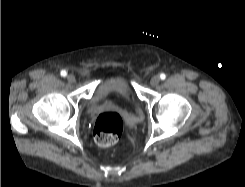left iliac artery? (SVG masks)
<instances>
[{
  "instance_id": "1",
  "label": "left iliac artery",
  "mask_w": 245,
  "mask_h": 187,
  "mask_svg": "<svg viewBox=\"0 0 245 187\" xmlns=\"http://www.w3.org/2000/svg\"><path fill=\"white\" fill-rule=\"evenodd\" d=\"M160 78H161L162 80H164V79L166 78V75H165L164 73H161V74H160Z\"/></svg>"
}]
</instances>
